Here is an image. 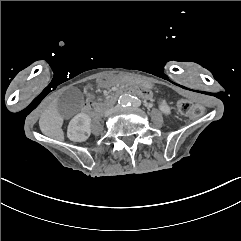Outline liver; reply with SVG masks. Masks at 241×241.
<instances>
[{
	"label": "liver",
	"mask_w": 241,
	"mask_h": 241,
	"mask_svg": "<svg viewBox=\"0 0 241 241\" xmlns=\"http://www.w3.org/2000/svg\"><path fill=\"white\" fill-rule=\"evenodd\" d=\"M63 118L58 113L56 107L51 106L46 109L39 120V126L42 133L46 136L57 140H64V133L62 130Z\"/></svg>",
	"instance_id": "obj_1"
}]
</instances>
